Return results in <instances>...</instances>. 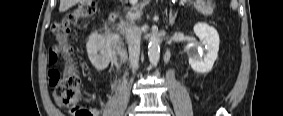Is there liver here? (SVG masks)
Listing matches in <instances>:
<instances>
[{
  "label": "liver",
  "instance_id": "liver-1",
  "mask_svg": "<svg viewBox=\"0 0 283 116\" xmlns=\"http://www.w3.org/2000/svg\"><path fill=\"white\" fill-rule=\"evenodd\" d=\"M79 0H60L59 11L65 12L72 6L76 5Z\"/></svg>",
  "mask_w": 283,
  "mask_h": 116
}]
</instances>
